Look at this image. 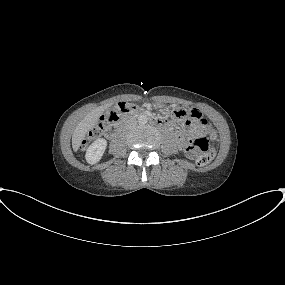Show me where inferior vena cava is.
<instances>
[{"label": "inferior vena cava", "instance_id": "1", "mask_svg": "<svg viewBox=\"0 0 285 285\" xmlns=\"http://www.w3.org/2000/svg\"><path fill=\"white\" fill-rule=\"evenodd\" d=\"M133 125H135V123L128 125V127L130 128V127H132Z\"/></svg>", "mask_w": 285, "mask_h": 285}]
</instances>
